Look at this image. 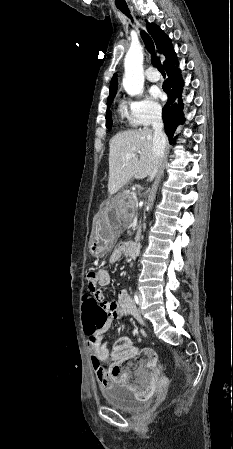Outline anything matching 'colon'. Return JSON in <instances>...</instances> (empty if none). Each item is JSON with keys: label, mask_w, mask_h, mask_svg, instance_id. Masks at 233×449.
Masks as SVG:
<instances>
[{"label": "colon", "mask_w": 233, "mask_h": 449, "mask_svg": "<svg viewBox=\"0 0 233 449\" xmlns=\"http://www.w3.org/2000/svg\"><path fill=\"white\" fill-rule=\"evenodd\" d=\"M89 287V286H88ZM94 295L84 293L82 301H79L80 317L83 319V328H104L105 327V308L100 307L98 303L93 300ZM122 343V340L116 342L114 348H117Z\"/></svg>", "instance_id": "colon-1"}]
</instances>
